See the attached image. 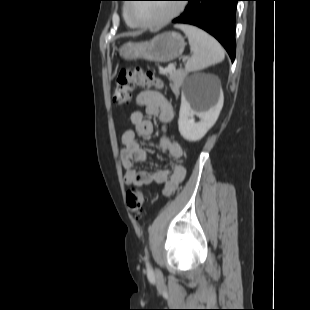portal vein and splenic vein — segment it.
<instances>
[{
  "label": "portal vein and splenic vein",
  "mask_w": 310,
  "mask_h": 310,
  "mask_svg": "<svg viewBox=\"0 0 310 310\" xmlns=\"http://www.w3.org/2000/svg\"><path fill=\"white\" fill-rule=\"evenodd\" d=\"M173 70H175V65H173V64L169 65V66L167 67V69H166L167 72H171V71H173Z\"/></svg>",
  "instance_id": "18ae733b"
}]
</instances>
